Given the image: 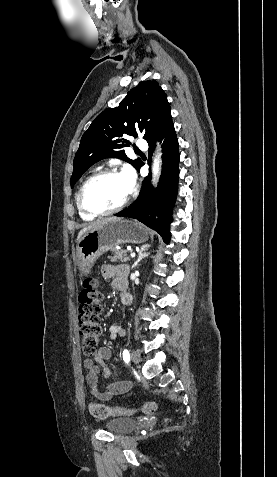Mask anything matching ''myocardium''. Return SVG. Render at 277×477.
<instances>
[{"mask_svg":"<svg viewBox=\"0 0 277 477\" xmlns=\"http://www.w3.org/2000/svg\"><path fill=\"white\" fill-rule=\"evenodd\" d=\"M107 174H122V173L120 172V170H118L115 167L105 168V169H102V170H99V171L95 172L90 177H88L85 180V182L82 184V186L80 187V190H79L78 195H77V204H78V208L83 213L91 215V216H95V217L104 216V215H109V214L119 212L129 204V202L131 200V192L128 193V195L125 197V199L119 205H117L113 208H110V209L98 211V210L90 209L86 206V204L84 202V193H85L86 188L88 187V185L94 179H96L100 176H103V175H107Z\"/></svg>","mask_w":277,"mask_h":477,"instance_id":"myocardium-1","label":"myocardium"}]
</instances>
